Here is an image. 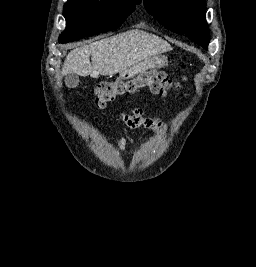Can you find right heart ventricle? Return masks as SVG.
I'll return each mask as SVG.
<instances>
[{
    "label": "right heart ventricle",
    "instance_id": "right-heart-ventricle-1",
    "mask_svg": "<svg viewBox=\"0 0 256 267\" xmlns=\"http://www.w3.org/2000/svg\"><path fill=\"white\" fill-rule=\"evenodd\" d=\"M135 28H145V27H135Z\"/></svg>",
    "mask_w": 256,
    "mask_h": 267
}]
</instances>
